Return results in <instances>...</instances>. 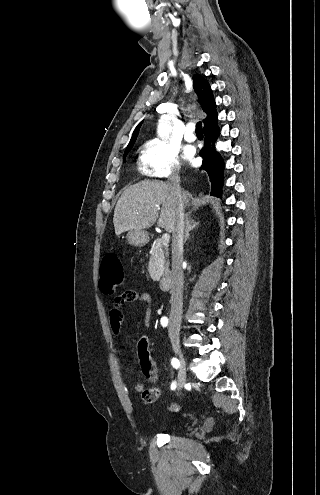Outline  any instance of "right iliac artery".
Segmentation results:
<instances>
[{"instance_id":"82829eb1","label":"right iliac artery","mask_w":320,"mask_h":495,"mask_svg":"<svg viewBox=\"0 0 320 495\" xmlns=\"http://www.w3.org/2000/svg\"><path fill=\"white\" fill-rule=\"evenodd\" d=\"M160 322H161V325H162L163 327H166V326L168 325V318L164 316V317H162V318H161ZM171 364H172V366H173L175 369H178V368L180 367V362H179V360H178L177 358H175V357H173V358H172V360H171ZM175 388H176V382H173V383L171 384V389L173 390V389H175Z\"/></svg>"}]
</instances>
